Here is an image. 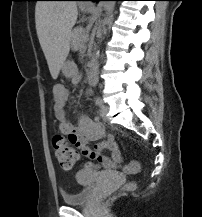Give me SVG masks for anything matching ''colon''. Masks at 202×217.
Wrapping results in <instances>:
<instances>
[{
  "mask_svg": "<svg viewBox=\"0 0 202 217\" xmlns=\"http://www.w3.org/2000/svg\"><path fill=\"white\" fill-rule=\"evenodd\" d=\"M55 156L64 170H71L80 157L79 151L71 146L66 145L61 136L54 137ZM92 167L91 165H88ZM124 171L127 174H136L140 171V163L137 160H132L125 165Z\"/></svg>",
  "mask_w": 202,
  "mask_h": 217,
  "instance_id": "colon-1",
  "label": "colon"
}]
</instances>
